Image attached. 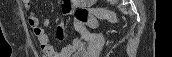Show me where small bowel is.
<instances>
[{
	"mask_svg": "<svg viewBox=\"0 0 172 57\" xmlns=\"http://www.w3.org/2000/svg\"><path fill=\"white\" fill-rule=\"evenodd\" d=\"M73 4H77L74 2ZM69 5V4H68ZM24 7L28 12V24L32 29L34 36L36 37L39 48L45 57H70L76 52H82L85 46L80 37L76 36L73 38L72 42L65 47H63L59 52H56L53 46L49 43V36L45 32V29L49 26V19L44 18L42 24H40L39 18L37 16L38 7L32 1H24ZM69 8L64 7V11ZM56 39L61 41L65 37V23L62 21L56 27Z\"/></svg>",
	"mask_w": 172,
	"mask_h": 57,
	"instance_id": "small-bowel-1",
	"label": "small bowel"
}]
</instances>
